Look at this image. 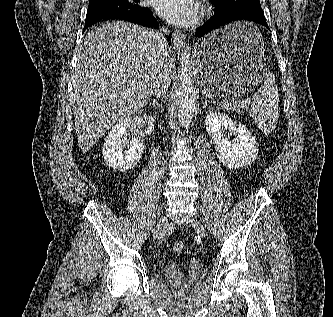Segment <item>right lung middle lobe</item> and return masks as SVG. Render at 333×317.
<instances>
[{"instance_id":"obj_1","label":"right lung middle lobe","mask_w":333,"mask_h":317,"mask_svg":"<svg viewBox=\"0 0 333 317\" xmlns=\"http://www.w3.org/2000/svg\"><path fill=\"white\" fill-rule=\"evenodd\" d=\"M143 8L138 0H89L87 14L101 11H123L138 10Z\"/></svg>"}]
</instances>
